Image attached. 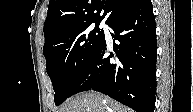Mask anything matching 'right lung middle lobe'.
Segmentation results:
<instances>
[{"label": "right lung middle lobe", "mask_w": 193, "mask_h": 112, "mask_svg": "<svg viewBox=\"0 0 193 112\" xmlns=\"http://www.w3.org/2000/svg\"><path fill=\"white\" fill-rule=\"evenodd\" d=\"M104 38L99 23L78 24L56 33L44 44L46 69L55 92L58 106L71 91Z\"/></svg>", "instance_id": "1"}]
</instances>
